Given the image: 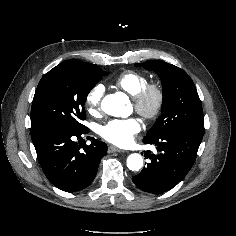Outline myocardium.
I'll return each instance as SVG.
<instances>
[{"mask_svg": "<svg viewBox=\"0 0 236 236\" xmlns=\"http://www.w3.org/2000/svg\"><path fill=\"white\" fill-rule=\"evenodd\" d=\"M135 110L145 119L153 120L160 114L164 104V91L159 83H148L133 96Z\"/></svg>", "mask_w": 236, "mask_h": 236, "instance_id": "obj_1", "label": "myocardium"}]
</instances>
